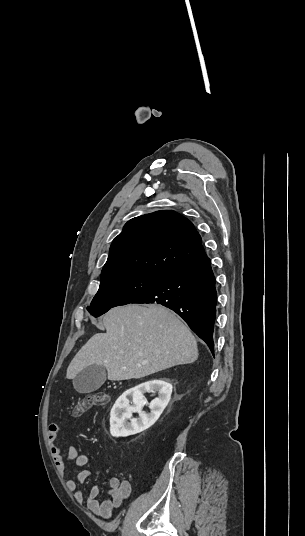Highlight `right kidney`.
I'll list each match as a JSON object with an SVG mask.
<instances>
[{"instance_id": "1", "label": "right kidney", "mask_w": 305, "mask_h": 536, "mask_svg": "<svg viewBox=\"0 0 305 536\" xmlns=\"http://www.w3.org/2000/svg\"><path fill=\"white\" fill-rule=\"evenodd\" d=\"M129 392L130 394L120 396L111 410L110 434L115 438L133 436V434H139V432H143V430L153 426L163 410H165L168 402H170L172 384H169L166 378H159V380H150V382L139 384L136 388H131ZM145 392H157L158 394V398H155L149 404L151 414L141 412L142 406L146 404L143 396ZM126 396H132L133 406H130ZM134 412H138L139 420H134L133 418V420L127 422Z\"/></svg>"}]
</instances>
